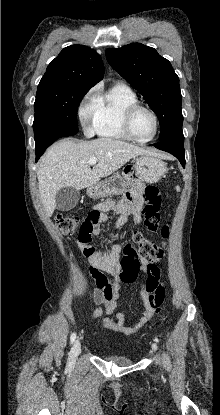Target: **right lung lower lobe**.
Segmentation results:
<instances>
[{
    "label": "right lung lower lobe",
    "mask_w": 220,
    "mask_h": 415,
    "mask_svg": "<svg viewBox=\"0 0 220 415\" xmlns=\"http://www.w3.org/2000/svg\"><path fill=\"white\" fill-rule=\"evenodd\" d=\"M45 149H46V147L36 150V161H38L40 156L44 153Z\"/></svg>",
    "instance_id": "obj_1"
}]
</instances>
